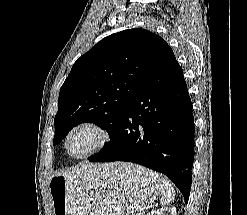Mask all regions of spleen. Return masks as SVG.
<instances>
[{
  "instance_id": "3e777b00",
  "label": "spleen",
  "mask_w": 247,
  "mask_h": 215,
  "mask_svg": "<svg viewBox=\"0 0 247 215\" xmlns=\"http://www.w3.org/2000/svg\"><path fill=\"white\" fill-rule=\"evenodd\" d=\"M160 190L162 193L161 204L167 205L174 201L175 199V190L171 182L167 178L161 179Z\"/></svg>"
}]
</instances>
